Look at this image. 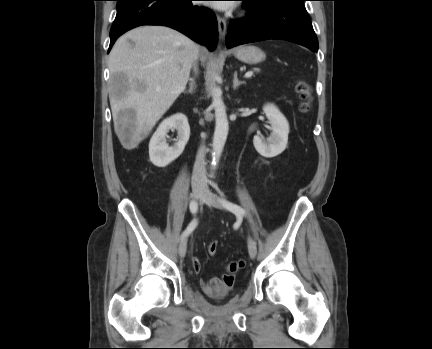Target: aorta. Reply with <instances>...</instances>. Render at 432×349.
Returning a JSON list of instances; mask_svg holds the SVG:
<instances>
[{
  "label": "aorta",
  "mask_w": 432,
  "mask_h": 349,
  "mask_svg": "<svg viewBox=\"0 0 432 349\" xmlns=\"http://www.w3.org/2000/svg\"><path fill=\"white\" fill-rule=\"evenodd\" d=\"M212 107L215 110V131L212 144V164L216 166L219 162L225 142L227 140L229 124L226 114V107L222 99V90L218 86L211 89Z\"/></svg>",
  "instance_id": "obj_1"
}]
</instances>
